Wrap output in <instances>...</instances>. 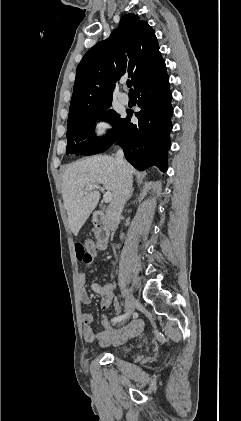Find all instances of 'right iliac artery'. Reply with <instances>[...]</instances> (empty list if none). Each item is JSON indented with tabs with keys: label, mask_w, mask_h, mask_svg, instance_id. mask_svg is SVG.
Wrapping results in <instances>:
<instances>
[{
	"label": "right iliac artery",
	"mask_w": 241,
	"mask_h": 421,
	"mask_svg": "<svg viewBox=\"0 0 241 421\" xmlns=\"http://www.w3.org/2000/svg\"><path fill=\"white\" fill-rule=\"evenodd\" d=\"M127 315H128V314H127V313H125V314H123V315H120V316L114 317V318L112 319V321H113V322H119V321H122V320L126 319Z\"/></svg>",
	"instance_id": "1"
}]
</instances>
